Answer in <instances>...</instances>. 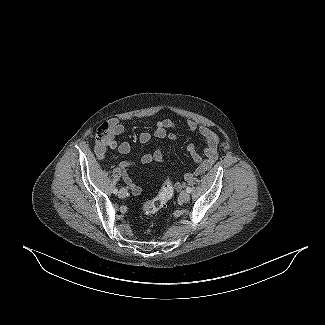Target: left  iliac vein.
I'll list each match as a JSON object with an SVG mask.
<instances>
[{
  "instance_id": "1",
  "label": "left iliac vein",
  "mask_w": 325,
  "mask_h": 325,
  "mask_svg": "<svg viewBox=\"0 0 325 325\" xmlns=\"http://www.w3.org/2000/svg\"><path fill=\"white\" fill-rule=\"evenodd\" d=\"M179 199L183 203H187L190 200V195L186 191H182L179 195Z\"/></svg>"
}]
</instances>
